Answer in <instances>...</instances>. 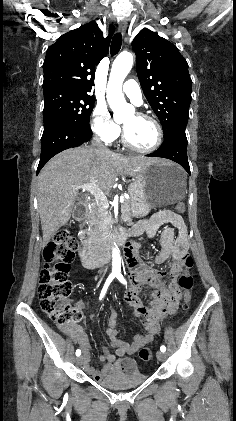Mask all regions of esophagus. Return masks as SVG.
<instances>
[{
  "instance_id": "esophagus-1",
  "label": "esophagus",
  "mask_w": 236,
  "mask_h": 421,
  "mask_svg": "<svg viewBox=\"0 0 236 421\" xmlns=\"http://www.w3.org/2000/svg\"><path fill=\"white\" fill-rule=\"evenodd\" d=\"M127 26L128 23L126 20H121L119 22V30L122 32L123 35L126 33Z\"/></svg>"
}]
</instances>
